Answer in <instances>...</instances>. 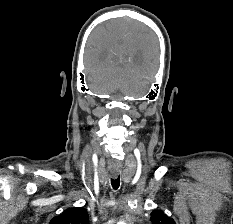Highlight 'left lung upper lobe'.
<instances>
[{"label":"left lung upper lobe","mask_w":233,"mask_h":224,"mask_svg":"<svg viewBox=\"0 0 233 224\" xmlns=\"http://www.w3.org/2000/svg\"><path fill=\"white\" fill-rule=\"evenodd\" d=\"M151 222L152 224H175L172 218H169L160 210L151 212Z\"/></svg>","instance_id":"5c2ea615"}]
</instances>
